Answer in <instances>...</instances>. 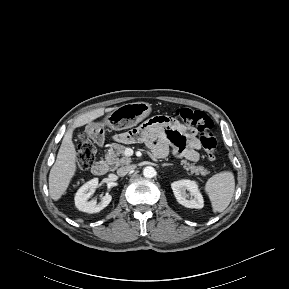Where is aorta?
Returning <instances> with one entry per match:
<instances>
[{
	"label": "aorta",
	"mask_w": 289,
	"mask_h": 289,
	"mask_svg": "<svg viewBox=\"0 0 289 289\" xmlns=\"http://www.w3.org/2000/svg\"><path fill=\"white\" fill-rule=\"evenodd\" d=\"M156 174V171L153 167L151 166H147L144 168L143 170V175L146 177V178H152L154 177Z\"/></svg>",
	"instance_id": "1"
}]
</instances>
